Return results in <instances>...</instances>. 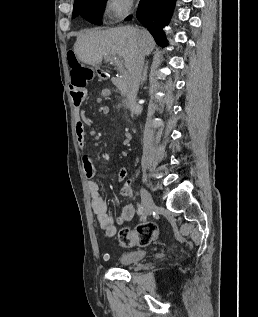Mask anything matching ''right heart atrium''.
<instances>
[{"instance_id": "1", "label": "right heart atrium", "mask_w": 258, "mask_h": 317, "mask_svg": "<svg viewBox=\"0 0 258 317\" xmlns=\"http://www.w3.org/2000/svg\"><path fill=\"white\" fill-rule=\"evenodd\" d=\"M132 9V0H109L106 5V16L112 24H116L130 14Z\"/></svg>"}]
</instances>
